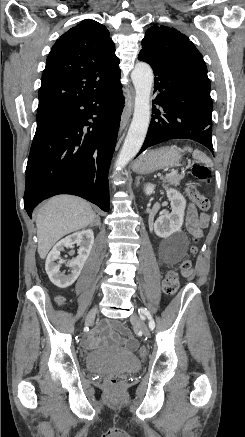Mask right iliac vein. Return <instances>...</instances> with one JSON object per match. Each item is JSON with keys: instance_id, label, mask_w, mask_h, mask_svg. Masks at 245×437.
<instances>
[{"instance_id": "right-iliac-vein-1", "label": "right iliac vein", "mask_w": 245, "mask_h": 437, "mask_svg": "<svg viewBox=\"0 0 245 437\" xmlns=\"http://www.w3.org/2000/svg\"><path fill=\"white\" fill-rule=\"evenodd\" d=\"M96 313H97V307H94L86 316L85 324H91L95 318Z\"/></svg>"}]
</instances>
